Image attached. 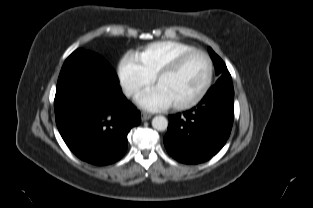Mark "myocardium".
Here are the masks:
<instances>
[{
  "instance_id": "f54148a6",
  "label": "myocardium",
  "mask_w": 313,
  "mask_h": 208,
  "mask_svg": "<svg viewBox=\"0 0 313 208\" xmlns=\"http://www.w3.org/2000/svg\"><path fill=\"white\" fill-rule=\"evenodd\" d=\"M195 55H202L206 59L207 64H208L207 79L201 91L198 93V95L195 98L185 103L173 104L172 107L176 110H186V109H190L196 106L205 98V96L209 92L212 82H213V77H214V65H213V61L211 57L208 55V53L199 49L188 51V52L181 54L177 58H175L171 63H169L167 66L159 70L155 75L154 83L157 84L164 77L179 70L189 58Z\"/></svg>"
}]
</instances>
